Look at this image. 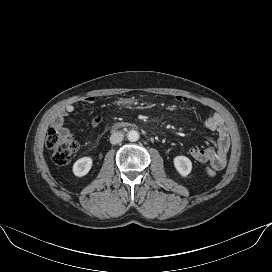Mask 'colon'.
<instances>
[{
    "label": "colon",
    "mask_w": 272,
    "mask_h": 272,
    "mask_svg": "<svg viewBox=\"0 0 272 272\" xmlns=\"http://www.w3.org/2000/svg\"><path fill=\"white\" fill-rule=\"evenodd\" d=\"M46 144L51 151L53 162L57 165L67 164L77 150V142L73 136L63 135L53 128L48 131ZM206 174L213 177L216 170L208 167Z\"/></svg>",
    "instance_id": "colon-1"
}]
</instances>
